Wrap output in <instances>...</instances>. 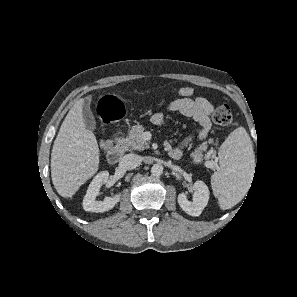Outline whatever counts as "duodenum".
<instances>
[{
  "instance_id": "410a0bca",
  "label": "duodenum",
  "mask_w": 297,
  "mask_h": 297,
  "mask_svg": "<svg viewBox=\"0 0 297 297\" xmlns=\"http://www.w3.org/2000/svg\"><path fill=\"white\" fill-rule=\"evenodd\" d=\"M123 153H124L123 140L120 138V136H117L115 138L113 146L111 147V149L107 153L108 161L111 164L118 163L121 160V158L123 156Z\"/></svg>"
}]
</instances>
